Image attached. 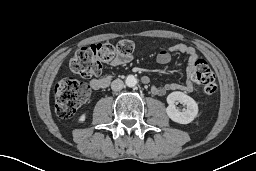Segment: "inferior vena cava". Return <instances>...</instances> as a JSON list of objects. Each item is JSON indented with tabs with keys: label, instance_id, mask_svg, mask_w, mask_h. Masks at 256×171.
I'll return each instance as SVG.
<instances>
[{
	"label": "inferior vena cava",
	"instance_id": "602c4592",
	"mask_svg": "<svg viewBox=\"0 0 256 171\" xmlns=\"http://www.w3.org/2000/svg\"><path fill=\"white\" fill-rule=\"evenodd\" d=\"M123 87H124V83H123V81L120 80V79H116V80H114V81L111 83V89H112L113 91H120V90L123 89Z\"/></svg>",
	"mask_w": 256,
	"mask_h": 171
}]
</instances>
